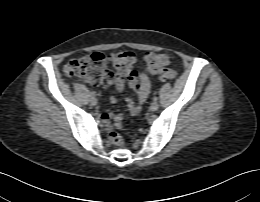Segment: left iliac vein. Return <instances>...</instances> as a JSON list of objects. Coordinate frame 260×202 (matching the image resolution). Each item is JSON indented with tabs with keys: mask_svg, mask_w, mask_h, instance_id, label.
Instances as JSON below:
<instances>
[{
	"mask_svg": "<svg viewBox=\"0 0 260 202\" xmlns=\"http://www.w3.org/2000/svg\"><path fill=\"white\" fill-rule=\"evenodd\" d=\"M158 108H159L158 102L154 101V102L151 103V105H150V111L155 112V111L158 110Z\"/></svg>",
	"mask_w": 260,
	"mask_h": 202,
	"instance_id": "left-iliac-vein-1",
	"label": "left iliac vein"
}]
</instances>
